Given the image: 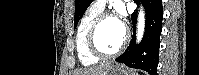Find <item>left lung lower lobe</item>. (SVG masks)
Wrapping results in <instances>:
<instances>
[{
  "instance_id": "left-lung-lower-lobe-1",
  "label": "left lung lower lobe",
  "mask_w": 199,
  "mask_h": 75,
  "mask_svg": "<svg viewBox=\"0 0 199 75\" xmlns=\"http://www.w3.org/2000/svg\"><path fill=\"white\" fill-rule=\"evenodd\" d=\"M139 3V0L137 1ZM143 5L146 12L145 32L141 43H135V24L137 11L131 15L134 33L126 51L116 61L124 63L131 68L142 69L150 75H157L158 52L160 45V34L162 31V0H144Z\"/></svg>"
}]
</instances>
